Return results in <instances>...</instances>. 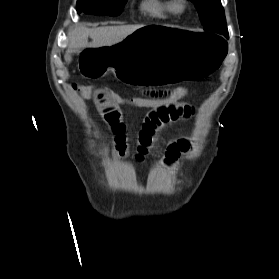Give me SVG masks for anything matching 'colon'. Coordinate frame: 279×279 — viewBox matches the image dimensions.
<instances>
[{
  "label": "colon",
  "instance_id": "colon-1",
  "mask_svg": "<svg viewBox=\"0 0 279 279\" xmlns=\"http://www.w3.org/2000/svg\"><path fill=\"white\" fill-rule=\"evenodd\" d=\"M73 88L85 98H93V96L98 94L105 96L118 106H131L135 108H152L163 104H173L179 102L189 93L187 87H175L163 90L158 95L143 94L140 96L128 97L123 93L95 85L73 84Z\"/></svg>",
  "mask_w": 279,
  "mask_h": 279
}]
</instances>
